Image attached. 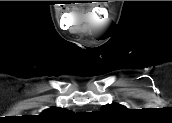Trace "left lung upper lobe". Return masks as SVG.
<instances>
[{
  "instance_id": "obj_1",
  "label": "left lung upper lobe",
  "mask_w": 172,
  "mask_h": 123,
  "mask_svg": "<svg viewBox=\"0 0 172 123\" xmlns=\"http://www.w3.org/2000/svg\"><path fill=\"white\" fill-rule=\"evenodd\" d=\"M117 108H123V106L120 105V104H116V103L111 104V105L108 104V105L103 106L101 108V110H114V109H117Z\"/></svg>"
}]
</instances>
